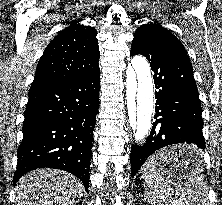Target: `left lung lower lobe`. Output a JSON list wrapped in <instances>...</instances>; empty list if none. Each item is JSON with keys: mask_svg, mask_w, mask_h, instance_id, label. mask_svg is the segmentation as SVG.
<instances>
[{"mask_svg": "<svg viewBox=\"0 0 222 205\" xmlns=\"http://www.w3.org/2000/svg\"><path fill=\"white\" fill-rule=\"evenodd\" d=\"M145 56L154 72L156 91L152 131L143 146H133L130 154L132 177L156 150L171 144L189 143L205 148L202 108L193 69L184 47L151 43L134 38L131 56ZM201 160L200 151H182L169 158L171 165H192Z\"/></svg>", "mask_w": 222, "mask_h": 205, "instance_id": "left-lung-lower-lobe-1", "label": "left lung lower lobe"}]
</instances>
